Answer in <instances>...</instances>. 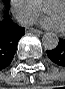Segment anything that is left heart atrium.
I'll use <instances>...</instances> for the list:
<instances>
[{"label": "left heart atrium", "instance_id": "left-heart-atrium-1", "mask_svg": "<svg viewBox=\"0 0 65 89\" xmlns=\"http://www.w3.org/2000/svg\"><path fill=\"white\" fill-rule=\"evenodd\" d=\"M38 23L40 26L48 29H53L57 31L63 29L59 20L53 16L42 18Z\"/></svg>", "mask_w": 65, "mask_h": 89}]
</instances>
